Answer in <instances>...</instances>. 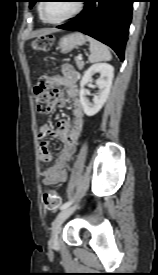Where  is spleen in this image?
I'll list each match as a JSON object with an SVG mask.
<instances>
[{
	"label": "spleen",
	"mask_w": 158,
	"mask_h": 275,
	"mask_svg": "<svg viewBox=\"0 0 158 275\" xmlns=\"http://www.w3.org/2000/svg\"><path fill=\"white\" fill-rule=\"evenodd\" d=\"M87 40L90 43L89 61L91 63L111 60L112 56L107 46L89 36Z\"/></svg>",
	"instance_id": "3e777b00"
}]
</instances>
